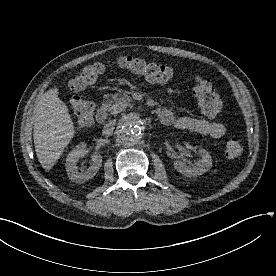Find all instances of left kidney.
Here are the masks:
<instances>
[{
    "label": "left kidney",
    "instance_id": "1",
    "mask_svg": "<svg viewBox=\"0 0 276 276\" xmlns=\"http://www.w3.org/2000/svg\"><path fill=\"white\" fill-rule=\"evenodd\" d=\"M199 155L201 159L192 166L178 160L174 162V168L186 177H194L204 174L212 167V157L209 152L203 148L199 149Z\"/></svg>",
    "mask_w": 276,
    "mask_h": 276
}]
</instances>
